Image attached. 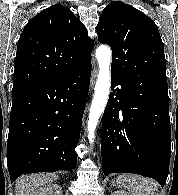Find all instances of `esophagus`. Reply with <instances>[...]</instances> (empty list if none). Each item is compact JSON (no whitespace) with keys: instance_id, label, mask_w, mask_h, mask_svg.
Instances as JSON below:
<instances>
[{"instance_id":"34e87169","label":"esophagus","mask_w":178,"mask_h":195,"mask_svg":"<svg viewBox=\"0 0 178 195\" xmlns=\"http://www.w3.org/2000/svg\"><path fill=\"white\" fill-rule=\"evenodd\" d=\"M96 75H97V70H94L93 77H92V80H91V85L94 84V79H95Z\"/></svg>"}]
</instances>
